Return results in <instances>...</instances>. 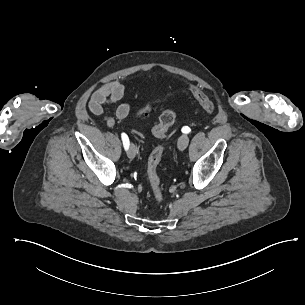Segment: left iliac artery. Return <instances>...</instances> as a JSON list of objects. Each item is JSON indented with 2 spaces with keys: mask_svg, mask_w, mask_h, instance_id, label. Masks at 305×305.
I'll list each match as a JSON object with an SVG mask.
<instances>
[{
  "mask_svg": "<svg viewBox=\"0 0 305 305\" xmlns=\"http://www.w3.org/2000/svg\"><path fill=\"white\" fill-rule=\"evenodd\" d=\"M191 131V129L188 127V126H184L183 128H182V132L183 133H189Z\"/></svg>",
  "mask_w": 305,
  "mask_h": 305,
  "instance_id": "obj_1",
  "label": "left iliac artery"
}]
</instances>
